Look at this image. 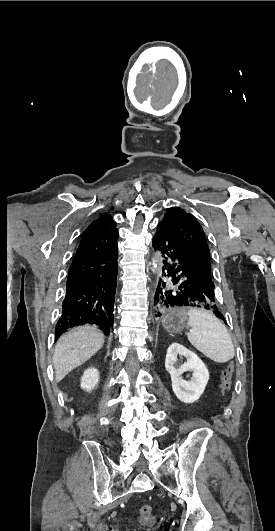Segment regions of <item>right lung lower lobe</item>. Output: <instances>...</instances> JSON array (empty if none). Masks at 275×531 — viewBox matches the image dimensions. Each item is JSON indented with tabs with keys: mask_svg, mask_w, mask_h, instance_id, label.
I'll use <instances>...</instances> for the list:
<instances>
[{
	"mask_svg": "<svg viewBox=\"0 0 275 531\" xmlns=\"http://www.w3.org/2000/svg\"><path fill=\"white\" fill-rule=\"evenodd\" d=\"M117 239V229L95 231L81 238L69 269L56 338L69 328L88 323L98 325L106 335L112 330Z\"/></svg>",
	"mask_w": 275,
	"mask_h": 531,
	"instance_id": "right-lung-lower-lobe-1",
	"label": "right lung lower lobe"
}]
</instances>
